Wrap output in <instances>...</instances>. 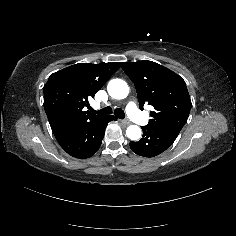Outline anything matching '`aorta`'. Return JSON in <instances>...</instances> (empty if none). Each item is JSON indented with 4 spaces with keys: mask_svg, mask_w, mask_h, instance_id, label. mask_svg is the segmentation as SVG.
Wrapping results in <instances>:
<instances>
[{
    "mask_svg": "<svg viewBox=\"0 0 236 236\" xmlns=\"http://www.w3.org/2000/svg\"><path fill=\"white\" fill-rule=\"evenodd\" d=\"M128 85L124 80L112 79L107 84V92L114 99H123L128 95ZM141 128L137 125H130L126 129L127 137L132 141H137L141 138Z\"/></svg>",
    "mask_w": 236,
    "mask_h": 236,
    "instance_id": "1",
    "label": "aorta"
}]
</instances>
